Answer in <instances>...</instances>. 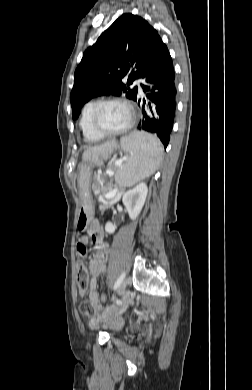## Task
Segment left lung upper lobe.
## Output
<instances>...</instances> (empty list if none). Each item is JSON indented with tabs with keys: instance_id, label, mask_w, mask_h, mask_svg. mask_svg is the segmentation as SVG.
<instances>
[{
	"instance_id": "obj_1",
	"label": "left lung upper lobe",
	"mask_w": 252,
	"mask_h": 390,
	"mask_svg": "<svg viewBox=\"0 0 252 390\" xmlns=\"http://www.w3.org/2000/svg\"><path fill=\"white\" fill-rule=\"evenodd\" d=\"M162 43L158 32L139 16L126 13L115 20L84 52L75 71L70 95L73 119L96 96L125 94L135 101L137 87L127 86L142 77Z\"/></svg>"
}]
</instances>
